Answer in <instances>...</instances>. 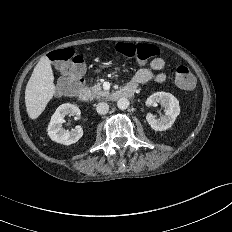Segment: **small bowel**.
<instances>
[{"label": "small bowel", "mask_w": 232, "mask_h": 232, "mask_svg": "<svg viewBox=\"0 0 232 232\" xmlns=\"http://www.w3.org/2000/svg\"><path fill=\"white\" fill-rule=\"evenodd\" d=\"M165 61L161 57H157L150 62L148 68L139 69L133 76L128 86L136 88L140 84L149 81L162 83L166 80V74L163 72Z\"/></svg>", "instance_id": "c3829d8e"}]
</instances>
